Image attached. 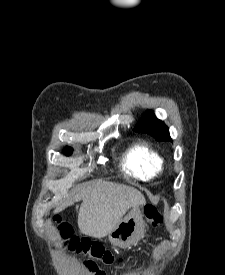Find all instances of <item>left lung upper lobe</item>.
I'll list each match as a JSON object with an SVG mask.
<instances>
[{
    "mask_svg": "<svg viewBox=\"0 0 225 275\" xmlns=\"http://www.w3.org/2000/svg\"><path fill=\"white\" fill-rule=\"evenodd\" d=\"M136 132L147 133L157 141H171L167 126L158 120L152 111H148L142 120L135 126Z\"/></svg>",
    "mask_w": 225,
    "mask_h": 275,
    "instance_id": "1",
    "label": "left lung upper lobe"
}]
</instances>
